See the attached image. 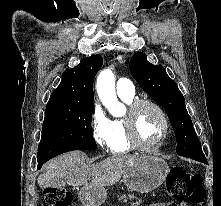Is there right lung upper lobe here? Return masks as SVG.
<instances>
[{
	"mask_svg": "<svg viewBox=\"0 0 221 206\" xmlns=\"http://www.w3.org/2000/svg\"><path fill=\"white\" fill-rule=\"evenodd\" d=\"M102 64L100 55H92L81 60L76 67L65 70L46 110L94 107L93 80Z\"/></svg>",
	"mask_w": 221,
	"mask_h": 206,
	"instance_id": "cb5924a9",
	"label": "right lung upper lobe"
}]
</instances>
